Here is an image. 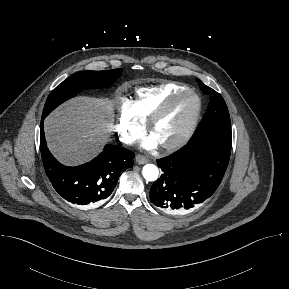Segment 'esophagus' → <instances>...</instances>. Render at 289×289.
Masks as SVG:
<instances>
[{
  "label": "esophagus",
  "instance_id": "esophagus-1",
  "mask_svg": "<svg viewBox=\"0 0 289 289\" xmlns=\"http://www.w3.org/2000/svg\"><path fill=\"white\" fill-rule=\"evenodd\" d=\"M136 162L138 164H145V163L148 162V159L146 157L142 156V155H137L136 156Z\"/></svg>",
  "mask_w": 289,
  "mask_h": 289
}]
</instances>
